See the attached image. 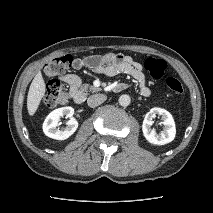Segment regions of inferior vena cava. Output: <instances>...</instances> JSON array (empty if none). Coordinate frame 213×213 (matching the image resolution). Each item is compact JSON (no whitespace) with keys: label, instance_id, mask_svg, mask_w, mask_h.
<instances>
[{"label":"inferior vena cava","instance_id":"inferior-vena-cava-1","mask_svg":"<svg viewBox=\"0 0 213 213\" xmlns=\"http://www.w3.org/2000/svg\"><path fill=\"white\" fill-rule=\"evenodd\" d=\"M106 99H107V96L104 94H94L87 99V103H88V106H90L91 108H94L102 104L104 101H106Z\"/></svg>","mask_w":213,"mask_h":213}]
</instances>
